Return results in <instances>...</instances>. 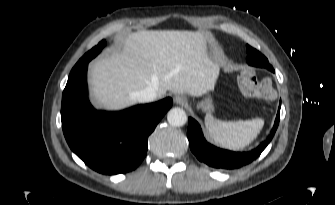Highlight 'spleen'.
Here are the masks:
<instances>
[{
	"instance_id": "obj_1",
	"label": "spleen",
	"mask_w": 335,
	"mask_h": 205,
	"mask_svg": "<svg viewBox=\"0 0 335 205\" xmlns=\"http://www.w3.org/2000/svg\"><path fill=\"white\" fill-rule=\"evenodd\" d=\"M264 120L220 121L211 114L205 116V126L208 135L223 147L240 150L248 146L260 133Z\"/></svg>"
}]
</instances>
